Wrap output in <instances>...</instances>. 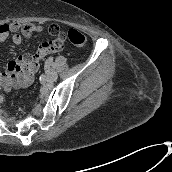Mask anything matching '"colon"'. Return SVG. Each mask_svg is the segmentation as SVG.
<instances>
[{
  "mask_svg": "<svg viewBox=\"0 0 172 172\" xmlns=\"http://www.w3.org/2000/svg\"><path fill=\"white\" fill-rule=\"evenodd\" d=\"M47 30L52 35L60 36V30L59 29L49 27ZM24 33L28 34L29 28H27V27L24 28ZM67 37L72 44H74L75 46H78V47L84 46L87 42L86 37L81 32H79L75 29L69 30L67 32Z\"/></svg>",
  "mask_w": 172,
  "mask_h": 172,
  "instance_id": "colon-1",
  "label": "colon"
}]
</instances>
